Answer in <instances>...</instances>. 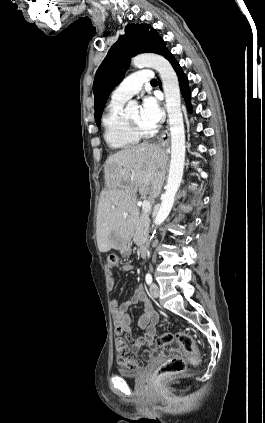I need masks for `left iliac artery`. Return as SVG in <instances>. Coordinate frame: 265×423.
Instances as JSON below:
<instances>
[{
    "label": "left iliac artery",
    "mask_w": 265,
    "mask_h": 423,
    "mask_svg": "<svg viewBox=\"0 0 265 423\" xmlns=\"http://www.w3.org/2000/svg\"><path fill=\"white\" fill-rule=\"evenodd\" d=\"M145 280H146V283H147L148 285H150V284L152 283V276H151V274H150V273H147V274H146Z\"/></svg>",
    "instance_id": "1"
}]
</instances>
